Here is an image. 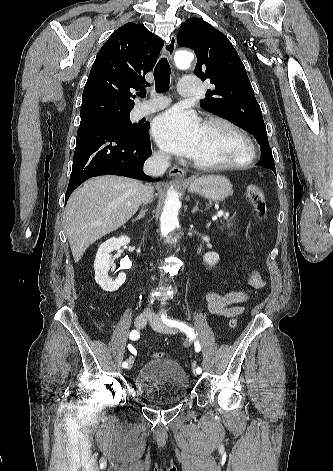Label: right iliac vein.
<instances>
[{
    "instance_id": "obj_1",
    "label": "right iliac vein",
    "mask_w": 333,
    "mask_h": 471,
    "mask_svg": "<svg viewBox=\"0 0 333 471\" xmlns=\"http://www.w3.org/2000/svg\"><path fill=\"white\" fill-rule=\"evenodd\" d=\"M150 319V317L148 315H145V314H141L139 316L136 317L135 319V327L137 329H143L146 324H147V321ZM133 363H134V358L133 356H130L129 359H128V367L127 369L130 370L133 366Z\"/></svg>"
}]
</instances>
